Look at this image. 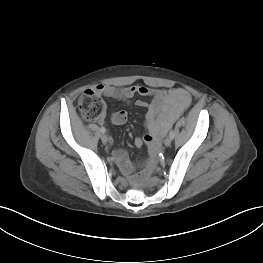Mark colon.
<instances>
[{"label": "colon", "instance_id": "obj_1", "mask_svg": "<svg viewBox=\"0 0 263 263\" xmlns=\"http://www.w3.org/2000/svg\"><path fill=\"white\" fill-rule=\"evenodd\" d=\"M82 116L89 121L100 119L105 112V103L94 90H86L78 100Z\"/></svg>", "mask_w": 263, "mask_h": 263}]
</instances>
